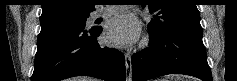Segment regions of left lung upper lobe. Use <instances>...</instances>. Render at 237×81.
Wrapping results in <instances>:
<instances>
[{
    "label": "left lung upper lobe",
    "mask_w": 237,
    "mask_h": 81,
    "mask_svg": "<svg viewBox=\"0 0 237 81\" xmlns=\"http://www.w3.org/2000/svg\"><path fill=\"white\" fill-rule=\"evenodd\" d=\"M149 11L156 13L148 25L152 38L175 29H201L200 14L195 0H152Z\"/></svg>",
    "instance_id": "1"
}]
</instances>
